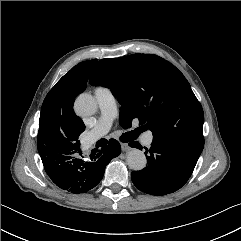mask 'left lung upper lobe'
I'll return each mask as SVG.
<instances>
[{"mask_svg": "<svg viewBox=\"0 0 241 241\" xmlns=\"http://www.w3.org/2000/svg\"><path fill=\"white\" fill-rule=\"evenodd\" d=\"M90 84L107 87L118 98L122 126L138 118L154 139L202 152L203 109L186 78L168 61L153 54L102 59Z\"/></svg>", "mask_w": 241, "mask_h": 241, "instance_id": "left-lung-upper-lobe-1", "label": "left lung upper lobe"}]
</instances>
